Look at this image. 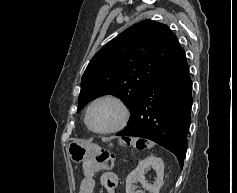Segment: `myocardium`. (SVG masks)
I'll return each instance as SVG.
<instances>
[{"instance_id": "obj_1", "label": "myocardium", "mask_w": 237, "mask_h": 193, "mask_svg": "<svg viewBox=\"0 0 237 193\" xmlns=\"http://www.w3.org/2000/svg\"><path fill=\"white\" fill-rule=\"evenodd\" d=\"M103 101H110V102H113L114 104H116L120 109L121 116H120L118 123L115 126H113L112 128L105 129V130H98V129H95L90 123V112L95 105H97L98 103L103 102ZM129 120H130V111H129L127 105L120 98H118L114 95H103V96L96 98L87 107L86 114H85V122H86L87 127L92 132H94L96 134H101V135L113 134V133H117V132L123 130L127 126Z\"/></svg>"}]
</instances>
